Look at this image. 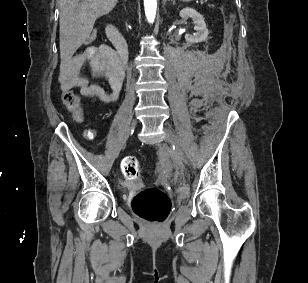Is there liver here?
I'll list each match as a JSON object with an SVG mask.
<instances>
[{"instance_id":"liver-1","label":"liver","mask_w":308,"mask_h":283,"mask_svg":"<svg viewBox=\"0 0 308 283\" xmlns=\"http://www.w3.org/2000/svg\"><path fill=\"white\" fill-rule=\"evenodd\" d=\"M118 0H59L60 57L67 62L89 38L96 19L108 14Z\"/></svg>"}]
</instances>
